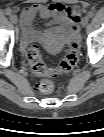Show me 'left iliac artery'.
Listing matches in <instances>:
<instances>
[{"label":"left iliac artery","mask_w":104,"mask_h":137,"mask_svg":"<svg viewBox=\"0 0 104 137\" xmlns=\"http://www.w3.org/2000/svg\"><path fill=\"white\" fill-rule=\"evenodd\" d=\"M93 16H94V12H93V11H89V12H88V17L91 18V17H93Z\"/></svg>","instance_id":"44dca946"}]
</instances>
